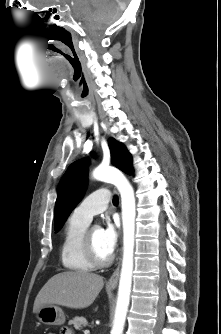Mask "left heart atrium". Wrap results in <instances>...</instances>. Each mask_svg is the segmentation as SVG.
<instances>
[{"mask_svg":"<svg viewBox=\"0 0 221 334\" xmlns=\"http://www.w3.org/2000/svg\"><path fill=\"white\" fill-rule=\"evenodd\" d=\"M118 236V223L108 220L105 227L101 229L102 244L108 252L112 253L115 250L118 242Z\"/></svg>","mask_w":221,"mask_h":334,"instance_id":"left-heart-atrium-1","label":"left heart atrium"}]
</instances>
